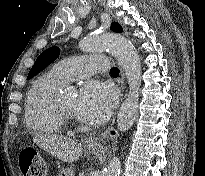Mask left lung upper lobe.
<instances>
[{"label":"left lung upper lobe","instance_id":"obj_1","mask_svg":"<svg viewBox=\"0 0 205 176\" xmlns=\"http://www.w3.org/2000/svg\"><path fill=\"white\" fill-rule=\"evenodd\" d=\"M111 30L114 32H122V28L118 23H112ZM60 50L57 47H51L42 52L36 59L35 64L31 68L28 78L32 77L39 71L43 70L51 62H53L59 56Z\"/></svg>","mask_w":205,"mask_h":176}]
</instances>
